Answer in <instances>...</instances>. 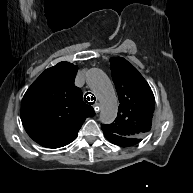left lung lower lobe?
Instances as JSON below:
<instances>
[{
    "mask_svg": "<svg viewBox=\"0 0 193 193\" xmlns=\"http://www.w3.org/2000/svg\"><path fill=\"white\" fill-rule=\"evenodd\" d=\"M104 134L106 136V138L114 143V144H117V145H120V146H131V145H135L133 144L132 142H130L129 140H127L126 138H123V137H120V136H117L113 133H110V132H106L104 131Z\"/></svg>",
    "mask_w": 193,
    "mask_h": 193,
    "instance_id": "1",
    "label": "left lung lower lobe"
}]
</instances>
